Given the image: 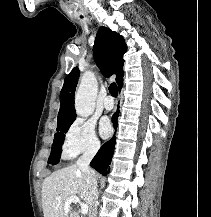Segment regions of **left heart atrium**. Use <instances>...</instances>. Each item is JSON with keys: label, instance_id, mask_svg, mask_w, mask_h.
<instances>
[{"label": "left heart atrium", "instance_id": "left-heart-atrium-1", "mask_svg": "<svg viewBox=\"0 0 211 217\" xmlns=\"http://www.w3.org/2000/svg\"><path fill=\"white\" fill-rule=\"evenodd\" d=\"M112 127L108 119H103L100 124V133L104 138L110 136Z\"/></svg>", "mask_w": 211, "mask_h": 217}]
</instances>
